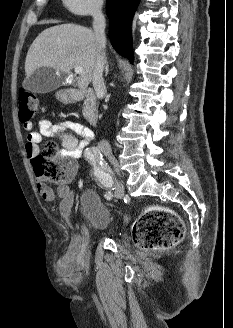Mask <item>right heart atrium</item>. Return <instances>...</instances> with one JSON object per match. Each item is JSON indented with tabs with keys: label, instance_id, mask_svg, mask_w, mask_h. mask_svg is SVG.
Returning a JSON list of instances; mask_svg holds the SVG:
<instances>
[{
	"label": "right heart atrium",
	"instance_id": "obj_1",
	"mask_svg": "<svg viewBox=\"0 0 233 328\" xmlns=\"http://www.w3.org/2000/svg\"><path fill=\"white\" fill-rule=\"evenodd\" d=\"M65 7L76 15L87 16L98 14L104 0H63Z\"/></svg>",
	"mask_w": 233,
	"mask_h": 328
}]
</instances>
